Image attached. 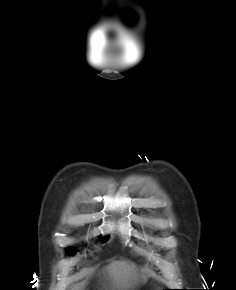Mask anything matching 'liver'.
<instances>
[{"mask_svg": "<svg viewBox=\"0 0 236 290\" xmlns=\"http://www.w3.org/2000/svg\"><path fill=\"white\" fill-rule=\"evenodd\" d=\"M105 270L113 287L118 290L133 287L139 278L136 266L124 261H115L108 265Z\"/></svg>", "mask_w": 236, "mask_h": 290, "instance_id": "obj_1", "label": "liver"}]
</instances>
